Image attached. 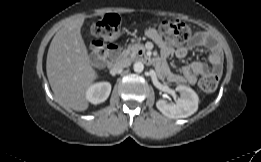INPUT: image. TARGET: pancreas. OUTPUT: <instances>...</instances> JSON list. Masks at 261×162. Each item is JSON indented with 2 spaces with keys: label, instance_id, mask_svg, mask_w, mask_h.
<instances>
[{
  "label": "pancreas",
  "instance_id": "pancreas-1",
  "mask_svg": "<svg viewBox=\"0 0 261 162\" xmlns=\"http://www.w3.org/2000/svg\"><path fill=\"white\" fill-rule=\"evenodd\" d=\"M139 51H142L143 54L145 53V48L142 44L140 43H134V44H130L128 45L127 49H125L122 52V57L125 58H131V59H135L137 54L139 53Z\"/></svg>",
  "mask_w": 261,
  "mask_h": 162
}]
</instances>
